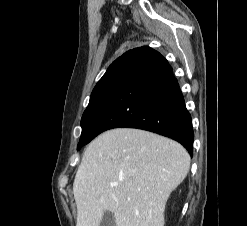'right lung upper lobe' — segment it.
Here are the masks:
<instances>
[{"mask_svg":"<svg viewBox=\"0 0 247 226\" xmlns=\"http://www.w3.org/2000/svg\"><path fill=\"white\" fill-rule=\"evenodd\" d=\"M131 51H132V50L127 51V52L124 53L121 57H119L118 59H116V60L109 66V68L112 67V66H114V65H117V64H119V63H124V64H125V62H126L128 56H129V54L131 53ZM109 68H108V69H109Z\"/></svg>","mask_w":247,"mask_h":226,"instance_id":"right-lung-upper-lobe-1","label":"right lung upper lobe"}]
</instances>
